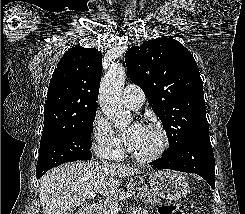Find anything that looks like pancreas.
I'll list each match as a JSON object with an SVG mask.
<instances>
[{
    "instance_id": "pancreas-1",
    "label": "pancreas",
    "mask_w": 245,
    "mask_h": 214,
    "mask_svg": "<svg viewBox=\"0 0 245 214\" xmlns=\"http://www.w3.org/2000/svg\"><path fill=\"white\" fill-rule=\"evenodd\" d=\"M134 186L131 185L129 187H127V190H133ZM141 194H140V198H143L144 201L148 204H152V205H157V204H161V199L160 197H158L152 189H149L147 186H142L137 188ZM128 191L126 192L125 190L123 191H119L116 195H114L113 197H111L110 199H108L100 208L99 210V214H112L111 213V207L114 205H118L119 202V198L121 195L128 193Z\"/></svg>"
}]
</instances>
